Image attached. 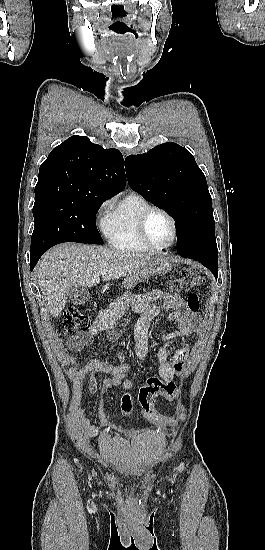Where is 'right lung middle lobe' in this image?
Listing matches in <instances>:
<instances>
[{
  "label": "right lung middle lobe",
  "instance_id": "dd1d6c3e",
  "mask_svg": "<svg viewBox=\"0 0 265 550\" xmlns=\"http://www.w3.org/2000/svg\"><path fill=\"white\" fill-rule=\"evenodd\" d=\"M107 197H35V227L30 252H45L63 242L103 244L96 228V213Z\"/></svg>",
  "mask_w": 265,
  "mask_h": 550
}]
</instances>
